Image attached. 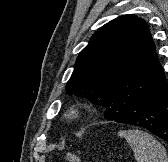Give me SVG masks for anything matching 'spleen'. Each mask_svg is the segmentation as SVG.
Masks as SVG:
<instances>
[{"label": "spleen", "instance_id": "3e777b00", "mask_svg": "<svg viewBox=\"0 0 168 162\" xmlns=\"http://www.w3.org/2000/svg\"><path fill=\"white\" fill-rule=\"evenodd\" d=\"M118 135L129 143L137 162H168L165 148L149 133L132 129Z\"/></svg>", "mask_w": 168, "mask_h": 162}]
</instances>
